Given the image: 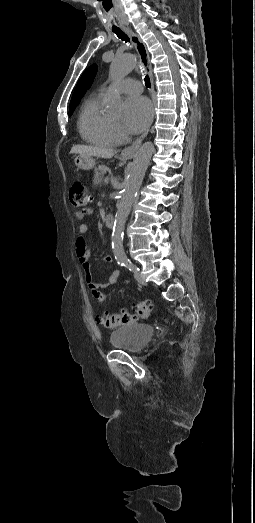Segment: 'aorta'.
<instances>
[{"label": "aorta", "instance_id": "aorta-1", "mask_svg": "<svg viewBox=\"0 0 255 523\" xmlns=\"http://www.w3.org/2000/svg\"><path fill=\"white\" fill-rule=\"evenodd\" d=\"M135 65V58L130 54L117 57L113 60L110 66L109 74L111 79L113 81H117L124 78L134 69ZM121 108V96L116 92L111 93L107 101V109L111 113L117 114L121 111ZM153 152L154 145L152 142H146L139 148L134 156L128 177L125 181L120 204L115 215L112 232V249L115 255V259L118 261L126 260V255L123 248L125 222L129 215L130 208L135 199L136 193L142 184Z\"/></svg>", "mask_w": 255, "mask_h": 523}]
</instances>
